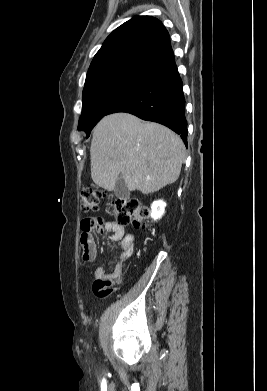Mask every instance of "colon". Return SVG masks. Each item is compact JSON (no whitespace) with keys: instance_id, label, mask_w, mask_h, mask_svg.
<instances>
[{"instance_id":"5ec220e1","label":"colon","mask_w":267,"mask_h":391,"mask_svg":"<svg viewBox=\"0 0 267 391\" xmlns=\"http://www.w3.org/2000/svg\"><path fill=\"white\" fill-rule=\"evenodd\" d=\"M105 195L101 190L86 187L80 193L83 212L97 211ZM114 222L120 226L132 225L135 229H145L148 225L149 210L136 198L117 199L111 202Z\"/></svg>"}]
</instances>
